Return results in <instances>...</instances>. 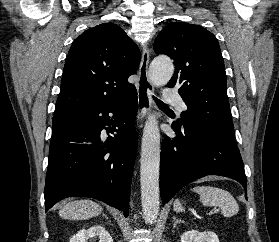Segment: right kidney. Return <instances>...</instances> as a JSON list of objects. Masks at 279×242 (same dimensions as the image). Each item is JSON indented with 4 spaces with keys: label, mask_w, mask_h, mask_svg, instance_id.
<instances>
[{
    "label": "right kidney",
    "mask_w": 279,
    "mask_h": 242,
    "mask_svg": "<svg viewBox=\"0 0 279 242\" xmlns=\"http://www.w3.org/2000/svg\"><path fill=\"white\" fill-rule=\"evenodd\" d=\"M99 238V242H113L112 237L102 225H94L89 229H81L74 235L70 242H87L91 238Z\"/></svg>",
    "instance_id": "right-kidney-1"
}]
</instances>
